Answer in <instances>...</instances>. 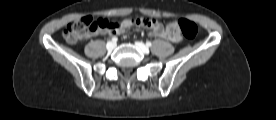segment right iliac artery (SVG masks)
<instances>
[{
  "mask_svg": "<svg viewBox=\"0 0 276 120\" xmlns=\"http://www.w3.org/2000/svg\"><path fill=\"white\" fill-rule=\"evenodd\" d=\"M117 40H118L117 37H113V38H112V41L115 42V43L117 42Z\"/></svg>",
  "mask_w": 276,
  "mask_h": 120,
  "instance_id": "1",
  "label": "right iliac artery"
}]
</instances>
